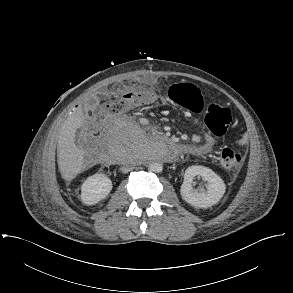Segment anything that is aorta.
<instances>
[{"mask_svg":"<svg viewBox=\"0 0 293 293\" xmlns=\"http://www.w3.org/2000/svg\"><path fill=\"white\" fill-rule=\"evenodd\" d=\"M154 145L158 148L159 154L160 155H165L166 154V144L162 141H155ZM149 170L155 173L162 172L163 166L159 162H153L149 165Z\"/></svg>","mask_w":293,"mask_h":293,"instance_id":"obj_1","label":"aorta"}]
</instances>
